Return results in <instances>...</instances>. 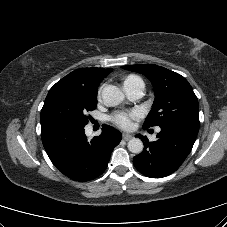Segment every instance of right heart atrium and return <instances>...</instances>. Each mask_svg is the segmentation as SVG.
<instances>
[{
  "instance_id": "obj_1",
  "label": "right heart atrium",
  "mask_w": 227,
  "mask_h": 227,
  "mask_svg": "<svg viewBox=\"0 0 227 227\" xmlns=\"http://www.w3.org/2000/svg\"><path fill=\"white\" fill-rule=\"evenodd\" d=\"M101 89H102V88H99V90H98V95H100V93H101Z\"/></svg>"
}]
</instances>
